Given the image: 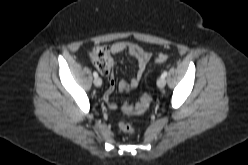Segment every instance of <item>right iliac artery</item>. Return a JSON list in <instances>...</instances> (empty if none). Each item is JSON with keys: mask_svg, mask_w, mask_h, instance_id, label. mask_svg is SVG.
I'll list each match as a JSON object with an SVG mask.
<instances>
[{"mask_svg": "<svg viewBox=\"0 0 248 165\" xmlns=\"http://www.w3.org/2000/svg\"><path fill=\"white\" fill-rule=\"evenodd\" d=\"M93 76L96 78L98 77V73L97 72H93Z\"/></svg>", "mask_w": 248, "mask_h": 165, "instance_id": "right-iliac-artery-1", "label": "right iliac artery"}]
</instances>
